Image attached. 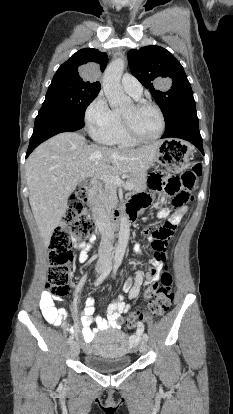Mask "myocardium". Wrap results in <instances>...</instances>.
Segmentation results:
<instances>
[{
  "instance_id": "f54148a6",
  "label": "myocardium",
  "mask_w": 233,
  "mask_h": 414,
  "mask_svg": "<svg viewBox=\"0 0 233 414\" xmlns=\"http://www.w3.org/2000/svg\"><path fill=\"white\" fill-rule=\"evenodd\" d=\"M133 105L136 109H144V108L155 109L158 112L160 119H161V128L158 134L155 135L154 137L144 138L136 132L131 121L127 117L121 115V123H122L125 133L137 143H151L161 138V136L164 134L165 129H166V118H165V115L162 109L157 104L150 102V101H137Z\"/></svg>"
}]
</instances>
